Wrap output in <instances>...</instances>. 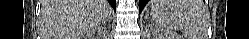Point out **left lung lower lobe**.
I'll list each match as a JSON object with an SVG mask.
<instances>
[{"label":"left lung lower lobe","mask_w":249,"mask_h":39,"mask_svg":"<svg viewBox=\"0 0 249 39\" xmlns=\"http://www.w3.org/2000/svg\"><path fill=\"white\" fill-rule=\"evenodd\" d=\"M148 0H139V12L142 11L143 7L146 5Z\"/></svg>","instance_id":"0a47b994"}]
</instances>
